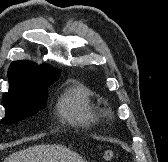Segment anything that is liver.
Returning a JSON list of instances; mask_svg holds the SVG:
<instances>
[{
  "mask_svg": "<svg viewBox=\"0 0 168 162\" xmlns=\"http://www.w3.org/2000/svg\"><path fill=\"white\" fill-rule=\"evenodd\" d=\"M3 162H86L79 154L61 145H36L13 153Z\"/></svg>",
  "mask_w": 168,
  "mask_h": 162,
  "instance_id": "6515ba94",
  "label": "liver"
}]
</instances>
